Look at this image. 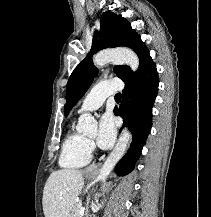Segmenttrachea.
<instances>
[{
  "instance_id": "3493384b",
  "label": "trachea",
  "mask_w": 211,
  "mask_h": 217,
  "mask_svg": "<svg viewBox=\"0 0 211 217\" xmlns=\"http://www.w3.org/2000/svg\"><path fill=\"white\" fill-rule=\"evenodd\" d=\"M121 97V94L120 93H117L116 95H115V98H120Z\"/></svg>"
}]
</instances>
